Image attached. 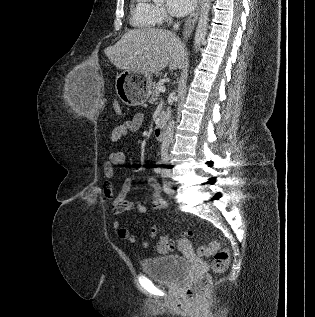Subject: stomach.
<instances>
[{
    "label": "stomach",
    "mask_w": 315,
    "mask_h": 317,
    "mask_svg": "<svg viewBox=\"0 0 315 317\" xmlns=\"http://www.w3.org/2000/svg\"><path fill=\"white\" fill-rule=\"evenodd\" d=\"M153 86L152 76L134 70H124L115 81L119 99L128 106L144 104Z\"/></svg>",
    "instance_id": "obj_1"
}]
</instances>
